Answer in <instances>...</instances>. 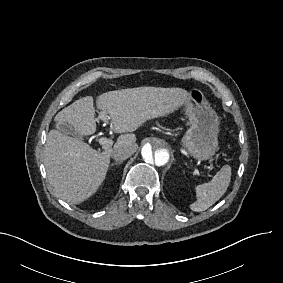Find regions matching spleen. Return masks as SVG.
<instances>
[{
    "label": "spleen",
    "mask_w": 283,
    "mask_h": 283,
    "mask_svg": "<svg viewBox=\"0 0 283 283\" xmlns=\"http://www.w3.org/2000/svg\"><path fill=\"white\" fill-rule=\"evenodd\" d=\"M230 181L231 167L224 165L210 182L196 187L197 201L190 205V209L196 212L207 210L225 194Z\"/></svg>",
    "instance_id": "spleen-1"
}]
</instances>
